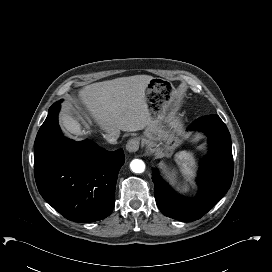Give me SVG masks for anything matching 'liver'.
<instances>
[{
	"mask_svg": "<svg viewBox=\"0 0 272 272\" xmlns=\"http://www.w3.org/2000/svg\"><path fill=\"white\" fill-rule=\"evenodd\" d=\"M152 78L148 75H135L93 83L79 91V100L90 116L108 133L146 129L151 124V117L145 102V89ZM60 120L71 134L77 137L87 134L80 123H84L81 115L73 116L64 112Z\"/></svg>",
	"mask_w": 272,
	"mask_h": 272,
	"instance_id": "obj_1",
	"label": "liver"
}]
</instances>
